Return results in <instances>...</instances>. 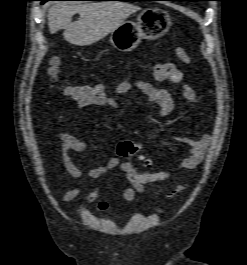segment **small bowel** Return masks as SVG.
Listing matches in <instances>:
<instances>
[{"instance_id": "c3829d8e", "label": "small bowel", "mask_w": 247, "mask_h": 265, "mask_svg": "<svg viewBox=\"0 0 247 265\" xmlns=\"http://www.w3.org/2000/svg\"><path fill=\"white\" fill-rule=\"evenodd\" d=\"M153 77L158 82H169L172 85L179 86L177 94L188 102L197 103L199 101L197 93L189 86L182 84L183 73L173 63L166 62L156 64L153 70ZM132 90L140 92L148 102L158 105L162 117H167L173 111L174 103L171 90L165 87H156L150 82L122 81L114 87L113 92L116 95H123ZM76 106L79 109L86 107L82 103H76ZM106 106L117 109L119 108V103L111 97ZM177 140L189 148L188 155L178 164L177 170H192L202 162L212 141V137L209 134H205L198 139L179 137ZM60 142V152L66 171L73 178H81L84 173L73 162L70 153L83 152L86 149V143L67 132L60 133ZM115 168H120L126 176L128 184L122 189V197L127 203L133 202L137 194L143 193L145 185L152 182L165 181L171 175L170 172L167 171L154 173L143 172L136 168L131 161H120L118 157H111L104 164L93 167L87 171L86 176L90 180H95L101 178ZM89 186L91 190L84 196V202H96L98 211H106L109 208V204L107 201L100 200L99 188L94 184H90ZM82 189L83 186H76L66 191L62 197L63 201H74L79 196Z\"/></svg>"}]
</instances>
